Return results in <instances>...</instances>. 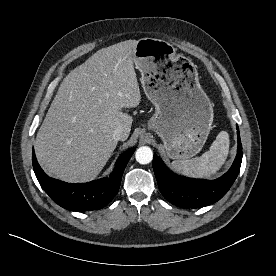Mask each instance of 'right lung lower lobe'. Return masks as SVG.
Listing matches in <instances>:
<instances>
[{
	"instance_id": "right-lung-lower-lobe-1",
	"label": "right lung lower lobe",
	"mask_w": 276,
	"mask_h": 276,
	"mask_svg": "<svg viewBox=\"0 0 276 276\" xmlns=\"http://www.w3.org/2000/svg\"><path fill=\"white\" fill-rule=\"evenodd\" d=\"M134 151L130 149L119 158L109 178L80 184L62 182L47 176L39 166L34 151L32 163L40 185L55 203L72 211L98 210L110 203L118 193L123 171Z\"/></svg>"
}]
</instances>
